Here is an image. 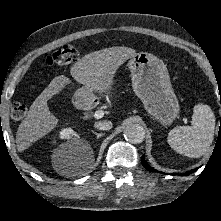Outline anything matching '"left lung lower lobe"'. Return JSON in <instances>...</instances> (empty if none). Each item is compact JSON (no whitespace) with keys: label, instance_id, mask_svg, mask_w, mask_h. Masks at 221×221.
<instances>
[{"label":"left lung lower lobe","instance_id":"1","mask_svg":"<svg viewBox=\"0 0 221 221\" xmlns=\"http://www.w3.org/2000/svg\"><path fill=\"white\" fill-rule=\"evenodd\" d=\"M142 165H143L146 169H148L149 171L155 172V169H153L152 167H150V166L148 165V163L146 162V160L144 159V155L142 156ZM196 170H197V169L191 170L190 172H187V173L182 174V175H189L190 173H193V172H195Z\"/></svg>","mask_w":221,"mask_h":221}]
</instances>
